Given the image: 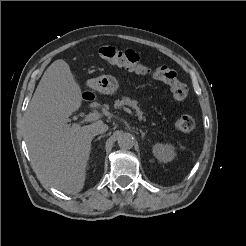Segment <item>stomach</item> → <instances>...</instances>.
I'll use <instances>...</instances> for the list:
<instances>
[{
  "label": "stomach",
  "mask_w": 246,
  "mask_h": 246,
  "mask_svg": "<svg viewBox=\"0 0 246 246\" xmlns=\"http://www.w3.org/2000/svg\"><path fill=\"white\" fill-rule=\"evenodd\" d=\"M87 86L103 94H113L119 88V81L112 75H102L97 78L89 79Z\"/></svg>",
  "instance_id": "1"
}]
</instances>
